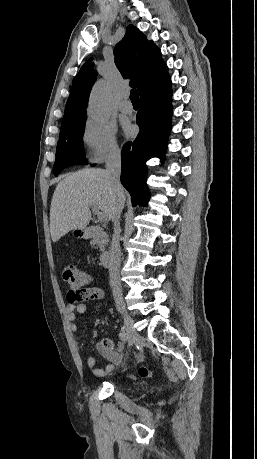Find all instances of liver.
<instances>
[{
    "label": "liver",
    "mask_w": 257,
    "mask_h": 459,
    "mask_svg": "<svg viewBox=\"0 0 257 459\" xmlns=\"http://www.w3.org/2000/svg\"><path fill=\"white\" fill-rule=\"evenodd\" d=\"M114 199L106 170L86 168L67 175L56 186L51 201L52 241L57 242L71 230L85 229L92 206L102 211L105 220H111Z\"/></svg>",
    "instance_id": "6515ba94"
}]
</instances>
